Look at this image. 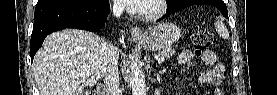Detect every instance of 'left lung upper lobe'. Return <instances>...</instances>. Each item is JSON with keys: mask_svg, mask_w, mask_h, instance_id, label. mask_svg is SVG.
Masks as SVG:
<instances>
[{"mask_svg": "<svg viewBox=\"0 0 277 95\" xmlns=\"http://www.w3.org/2000/svg\"><path fill=\"white\" fill-rule=\"evenodd\" d=\"M184 0H168V6H167V10L171 7H173L174 5H177L181 2H183Z\"/></svg>", "mask_w": 277, "mask_h": 95, "instance_id": "obj_1", "label": "left lung upper lobe"}]
</instances>
